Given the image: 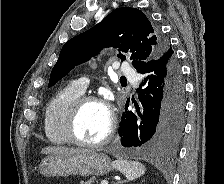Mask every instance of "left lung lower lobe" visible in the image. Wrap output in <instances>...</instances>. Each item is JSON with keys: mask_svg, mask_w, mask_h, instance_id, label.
Returning a JSON list of instances; mask_svg holds the SVG:
<instances>
[{"mask_svg": "<svg viewBox=\"0 0 224 184\" xmlns=\"http://www.w3.org/2000/svg\"><path fill=\"white\" fill-rule=\"evenodd\" d=\"M145 77L137 89V113L122 114L119 134L126 148L143 147L155 154L172 151L182 134L184 83L171 47L137 70Z\"/></svg>", "mask_w": 224, "mask_h": 184, "instance_id": "1", "label": "left lung lower lobe"}]
</instances>
